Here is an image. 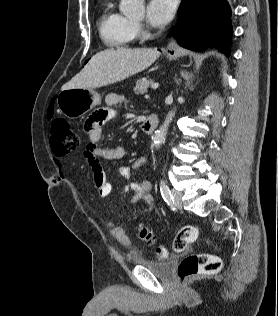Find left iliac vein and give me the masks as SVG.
I'll use <instances>...</instances> for the list:
<instances>
[{"label":"left iliac vein","mask_w":278,"mask_h":316,"mask_svg":"<svg viewBox=\"0 0 278 316\" xmlns=\"http://www.w3.org/2000/svg\"><path fill=\"white\" fill-rule=\"evenodd\" d=\"M173 203L177 208H182L183 193L179 190H172Z\"/></svg>","instance_id":"1"}]
</instances>
